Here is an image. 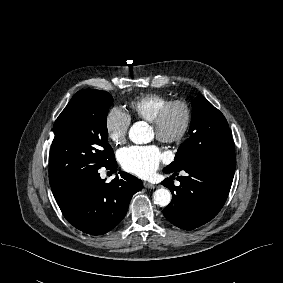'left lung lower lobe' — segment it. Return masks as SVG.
Returning <instances> with one entry per match:
<instances>
[{
  "instance_id": "obj_1",
  "label": "left lung lower lobe",
  "mask_w": 283,
  "mask_h": 283,
  "mask_svg": "<svg viewBox=\"0 0 283 283\" xmlns=\"http://www.w3.org/2000/svg\"><path fill=\"white\" fill-rule=\"evenodd\" d=\"M236 157L190 164L172 173L162 184L172 193L171 203L163 210L168 221L177 227L193 230L213 219L223 207L233 181ZM180 171L186 176H178ZM177 177L180 185L172 180Z\"/></svg>"
}]
</instances>
